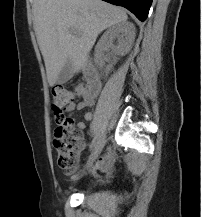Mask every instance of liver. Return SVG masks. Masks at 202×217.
Listing matches in <instances>:
<instances>
[{"instance_id": "1", "label": "liver", "mask_w": 202, "mask_h": 217, "mask_svg": "<svg viewBox=\"0 0 202 217\" xmlns=\"http://www.w3.org/2000/svg\"><path fill=\"white\" fill-rule=\"evenodd\" d=\"M33 15L50 86L56 84L68 59L74 65V72L84 69L98 35L127 20L123 9L102 0H34Z\"/></svg>"}]
</instances>
